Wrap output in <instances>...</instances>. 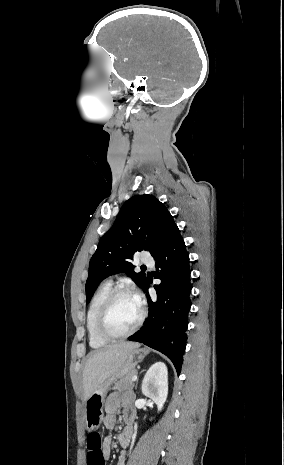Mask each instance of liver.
I'll list each match as a JSON object with an SVG mask.
<instances>
[{"label": "liver", "mask_w": 284, "mask_h": 465, "mask_svg": "<svg viewBox=\"0 0 284 465\" xmlns=\"http://www.w3.org/2000/svg\"><path fill=\"white\" fill-rule=\"evenodd\" d=\"M137 347L138 343H118L90 353L83 369V401H87L107 377L117 373L125 363L128 353Z\"/></svg>", "instance_id": "liver-1"}]
</instances>
